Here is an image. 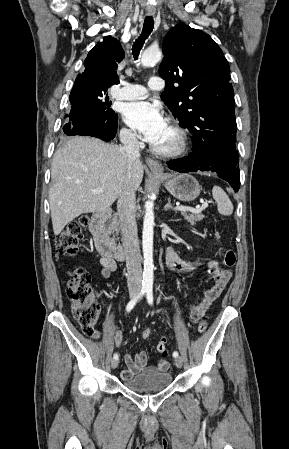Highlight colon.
Returning a JSON list of instances; mask_svg holds the SVG:
<instances>
[{"label": "colon", "mask_w": 289, "mask_h": 449, "mask_svg": "<svg viewBox=\"0 0 289 449\" xmlns=\"http://www.w3.org/2000/svg\"><path fill=\"white\" fill-rule=\"evenodd\" d=\"M88 224L87 217H79L70 222L59 235L56 242V252L60 256L72 257L77 251L84 237V230ZM217 237L219 235L217 234ZM223 263L226 267H233L236 263V254L233 250H227ZM89 273L83 268H77L70 273L66 293L71 301L72 311L83 333L93 336L96 333L95 326L99 317V306L93 295ZM208 324L202 320L198 324V331L204 333ZM151 330L145 329L142 337L148 339ZM168 352V350H167Z\"/></svg>", "instance_id": "1"}]
</instances>
